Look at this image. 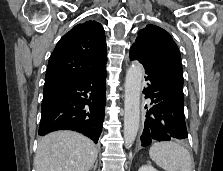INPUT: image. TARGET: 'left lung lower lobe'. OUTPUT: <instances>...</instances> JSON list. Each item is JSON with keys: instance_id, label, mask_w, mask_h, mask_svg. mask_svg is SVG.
I'll use <instances>...</instances> for the list:
<instances>
[{"instance_id": "left-lung-lower-lobe-1", "label": "left lung lower lobe", "mask_w": 223, "mask_h": 171, "mask_svg": "<svg viewBox=\"0 0 223 171\" xmlns=\"http://www.w3.org/2000/svg\"><path fill=\"white\" fill-rule=\"evenodd\" d=\"M129 56L143 64L147 74L144 94L151 100L140 137L141 145L186 139L183 81L134 47H131Z\"/></svg>"}]
</instances>
